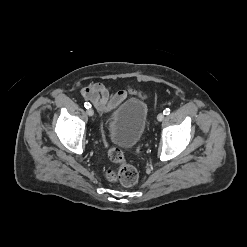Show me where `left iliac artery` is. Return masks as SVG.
<instances>
[{
  "label": "left iliac artery",
  "mask_w": 247,
  "mask_h": 247,
  "mask_svg": "<svg viewBox=\"0 0 247 247\" xmlns=\"http://www.w3.org/2000/svg\"><path fill=\"white\" fill-rule=\"evenodd\" d=\"M163 114H164V115H169V114H170V109H169V108H166V109L163 111Z\"/></svg>",
  "instance_id": "44dca946"
}]
</instances>
